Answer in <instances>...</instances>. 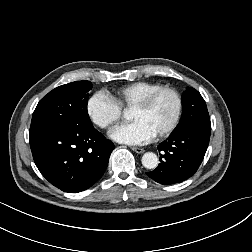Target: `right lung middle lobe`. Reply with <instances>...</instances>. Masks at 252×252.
<instances>
[{
	"label": "right lung middle lobe",
	"mask_w": 252,
	"mask_h": 252,
	"mask_svg": "<svg viewBox=\"0 0 252 252\" xmlns=\"http://www.w3.org/2000/svg\"><path fill=\"white\" fill-rule=\"evenodd\" d=\"M91 89L92 83L86 80L53 89L38 103L30 129L62 124L93 126L87 111L88 92Z\"/></svg>",
	"instance_id": "right-lung-middle-lobe-1"
}]
</instances>
